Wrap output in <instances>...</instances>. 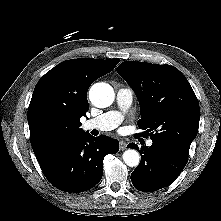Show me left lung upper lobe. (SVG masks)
<instances>
[{
  "label": "left lung upper lobe",
  "mask_w": 221,
  "mask_h": 221,
  "mask_svg": "<svg viewBox=\"0 0 221 221\" xmlns=\"http://www.w3.org/2000/svg\"><path fill=\"white\" fill-rule=\"evenodd\" d=\"M117 72L138 97L142 116L138 127L152 141L188 156L198 133L200 108L185 76L170 65L133 61L121 63Z\"/></svg>",
  "instance_id": "obj_1"
}]
</instances>
